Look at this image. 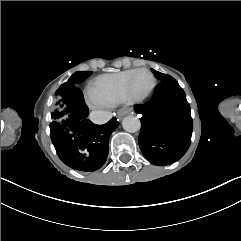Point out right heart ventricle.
I'll return each instance as SVG.
<instances>
[{
	"instance_id": "right-heart-ventricle-1",
	"label": "right heart ventricle",
	"mask_w": 241,
	"mask_h": 241,
	"mask_svg": "<svg viewBox=\"0 0 241 241\" xmlns=\"http://www.w3.org/2000/svg\"><path fill=\"white\" fill-rule=\"evenodd\" d=\"M132 72L134 71L98 76L86 90L87 99L105 106H114L129 99L132 94H126V78ZM134 80L136 78L131 81Z\"/></svg>"
}]
</instances>
